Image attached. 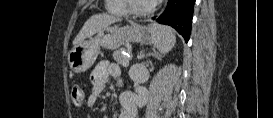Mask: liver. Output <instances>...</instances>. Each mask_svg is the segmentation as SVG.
<instances>
[{"instance_id":"obj_1","label":"liver","mask_w":273,"mask_h":118,"mask_svg":"<svg viewBox=\"0 0 273 118\" xmlns=\"http://www.w3.org/2000/svg\"><path fill=\"white\" fill-rule=\"evenodd\" d=\"M119 21L118 17L109 15V14H96L90 17L75 37L73 45H77L86 38L91 37L96 34L101 29L109 26L112 23Z\"/></svg>"}]
</instances>
